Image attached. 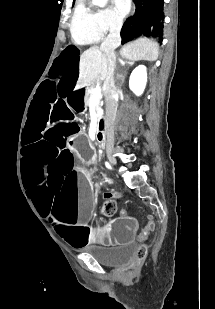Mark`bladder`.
I'll return each instance as SVG.
<instances>
[{"label": "bladder", "mask_w": 215, "mask_h": 309, "mask_svg": "<svg viewBox=\"0 0 215 309\" xmlns=\"http://www.w3.org/2000/svg\"><path fill=\"white\" fill-rule=\"evenodd\" d=\"M135 246L125 245L115 251L96 256V259L103 265L109 267H120L127 265L135 257Z\"/></svg>", "instance_id": "1"}]
</instances>
